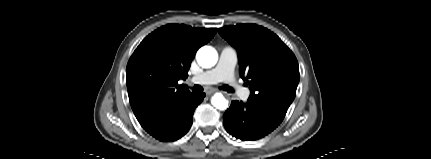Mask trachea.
Wrapping results in <instances>:
<instances>
[{
  "instance_id": "obj_1",
  "label": "trachea",
  "mask_w": 431,
  "mask_h": 159,
  "mask_svg": "<svg viewBox=\"0 0 431 159\" xmlns=\"http://www.w3.org/2000/svg\"><path fill=\"white\" fill-rule=\"evenodd\" d=\"M220 89H222L224 91H227L229 93L233 92V89L230 86H228V85H223V86L220 87ZM202 91H203V88L200 85H194L192 87V92L193 93H202Z\"/></svg>"
}]
</instances>
